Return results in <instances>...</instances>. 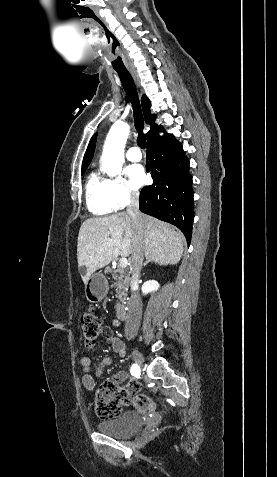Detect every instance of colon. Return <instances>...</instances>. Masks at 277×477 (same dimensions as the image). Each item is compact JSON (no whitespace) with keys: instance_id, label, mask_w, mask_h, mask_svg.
Wrapping results in <instances>:
<instances>
[{"instance_id":"5ec220e1","label":"colon","mask_w":277,"mask_h":477,"mask_svg":"<svg viewBox=\"0 0 277 477\" xmlns=\"http://www.w3.org/2000/svg\"><path fill=\"white\" fill-rule=\"evenodd\" d=\"M81 330L86 347L92 348L103 331L100 317L89 308L81 316ZM132 404L141 412L155 409V402L145 394H139L133 385L124 387L107 380L99 387L95 399V410L99 417L108 419L119 415L122 407Z\"/></svg>"}]
</instances>
